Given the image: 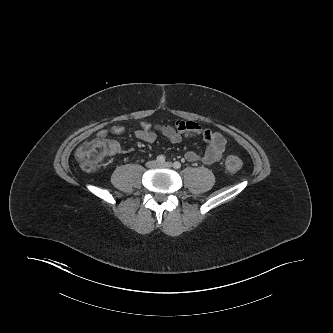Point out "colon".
<instances>
[{"label": "colon", "mask_w": 333, "mask_h": 333, "mask_svg": "<svg viewBox=\"0 0 333 333\" xmlns=\"http://www.w3.org/2000/svg\"><path fill=\"white\" fill-rule=\"evenodd\" d=\"M110 154L111 148L108 142L105 139L96 138L77 149L76 159L84 170L95 171ZM225 166L228 171L236 172L241 168L242 162L238 156L230 154L225 159Z\"/></svg>", "instance_id": "1"}]
</instances>
